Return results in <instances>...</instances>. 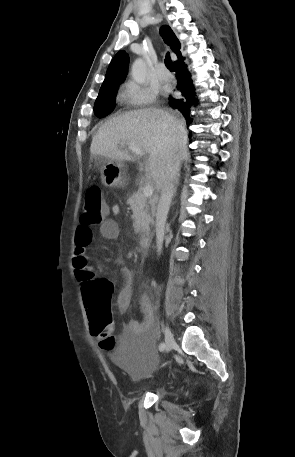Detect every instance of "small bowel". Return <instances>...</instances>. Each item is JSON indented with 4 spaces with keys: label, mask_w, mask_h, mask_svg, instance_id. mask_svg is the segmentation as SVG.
Returning a JSON list of instances; mask_svg holds the SVG:
<instances>
[{
    "label": "small bowel",
    "mask_w": 295,
    "mask_h": 457,
    "mask_svg": "<svg viewBox=\"0 0 295 457\" xmlns=\"http://www.w3.org/2000/svg\"><path fill=\"white\" fill-rule=\"evenodd\" d=\"M108 212L118 215L120 212L119 205L113 204L110 208H108ZM99 230L104 239L113 240L119 236V225L116 220L112 218H106V220L100 225ZM92 239V230L88 227L80 225L77 228L75 235L76 254H85V250L92 242ZM120 271L124 278V284L117 294L115 304L121 313H125L128 311L132 299V274L126 267H122ZM139 309L143 315V320L131 321L127 326V332L131 335L144 334L145 338H152V327L155 320V314L152 303L148 295L145 293L140 296ZM113 358L116 359V357Z\"/></svg>",
    "instance_id": "c3829d8e"
}]
</instances>
